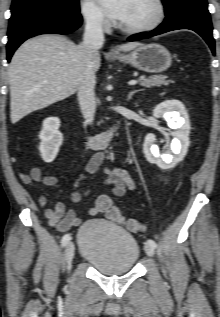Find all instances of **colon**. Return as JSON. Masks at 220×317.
<instances>
[{
  "label": "colon",
  "mask_w": 220,
  "mask_h": 317,
  "mask_svg": "<svg viewBox=\"0 0 220 317\" xmlns=\"http://www.w3.org/2000/svg\"><path fill=\"white\" fill-rule=\"evenodd\" d=\"M103 207L104 213L109 220L124 224L127 229L132 232L143 231V224L139 220L132 218L126 219L110 199H105L103 201Z\"/></svg>",
  "instance_id": "5ec220e1"
}]
</instances>
